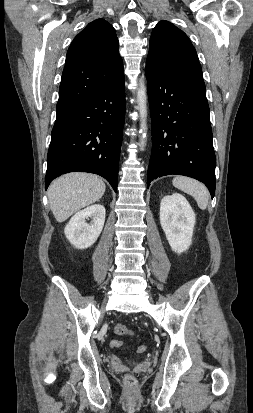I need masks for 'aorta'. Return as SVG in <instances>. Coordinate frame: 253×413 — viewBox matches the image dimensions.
<instances>
[{"label":"aorta","instance_id":"obj_1","mask_svg":"<svg viewBox=\"0 0 253 413\" xmlns=\"http://www.w3.org/2000/svg\"><path fill=\"white\" fill-rule=\"evenodd\" d=\"M137 102L138 110L140 114V140L139 146L143 150L147 140V94L144 79L139 81V87L137 89Z\"/></svg>","mask_w":253,"mask_h":413}]
</instances>
